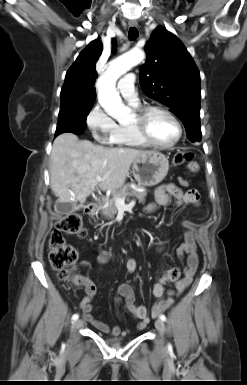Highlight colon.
<instances>
[{"label": "colon", "instance_id": "1", "mask_svg": "<svg viewBox=\"0 0 247 385\" xmlns=\"http://www.w3.org/2000/svg\"><path fill=\"white\" fill-rule=\"evenodd\" d=\"M175 165L186 164L189 172L197 174L200 171L198 163L194 161L192 152H179L173 160ZM82 219L79 214L72 213L60 217L49 237V261L57 276L62 281H71L77 287H86L85 280L79 275H73L78 255L73 246L65 241V235L83 236Z\"/></svg>", "mask_w": 247, "mask_h": 385}]
</instances>
